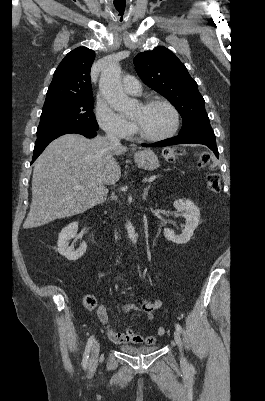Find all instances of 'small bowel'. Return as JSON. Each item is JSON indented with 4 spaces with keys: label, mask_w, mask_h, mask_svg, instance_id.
<instances>
[{
    "label": "small bowel",
    "mask_w": 265,
    "mask_h": 401,
    "mask_svg": "<svg viewBox=\"0 0 265 401\" xmlns=\"http://www.w3.org/2000/svg\"><path fill=\"white\" fill-rule=\"evenodd\" d=\"M161 307V302L155 299H140L138 303H128L122 307L124 312L137 311L146 314L150 319L154 313ZM98 320L105 326L107 337L115 344H145L153 345L156 343L154 336H142L125 330L116 332L109 324V315L106 308L102 305L98 309Z\"/></svg>",
    "instance_id": "obj_1"
}]
</instances>
